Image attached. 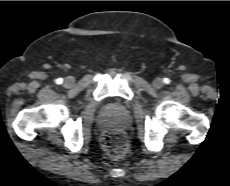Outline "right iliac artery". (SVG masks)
Here are the masks:
<instances>
[{
  "label": "right iliac artery",
  "mask_w": 230,
  "mask_h": 186,
  "mask_svg": "<svg viewBox=\"0 0 230 186\" xmlns=\"http://www.w3.org/2000/svg\"><path fill=\"white\" fill-rule=\"evenodd\" d=\"M62 82H63V79H61V78H59V79L56 80L57 84H61Z\"/></svg>",
  "instance_id": "1"
}]
</instances>
